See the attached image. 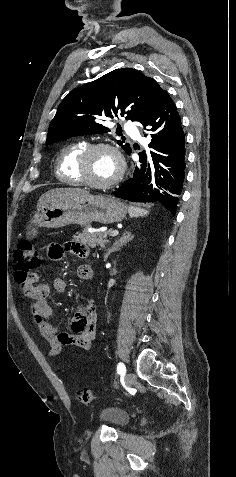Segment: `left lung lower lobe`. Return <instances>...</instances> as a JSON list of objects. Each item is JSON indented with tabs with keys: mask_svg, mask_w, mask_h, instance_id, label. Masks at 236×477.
<instances>
[{
	"mask_svg": "<svg viewBox=\"0 0 236 477\" xmlns=\"http://www.w3.org/2000/svg\"><path fill=\"white\" fill-rule=\"evenodd\" d=\"M150 136L149 154L140 152L133 177L115 196L133 202H159L175 214L185 176V134L181 118L169 94L161 90L157 107L143 125Z\"/></svg>",
	"mask_w": 236,
	"mask_h": 477,
	"instance_id": "1",
	"label": "left lung lower lobe"
}]
</instances>
